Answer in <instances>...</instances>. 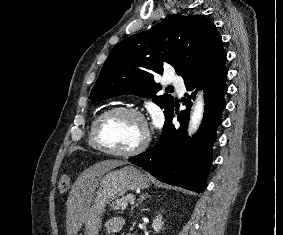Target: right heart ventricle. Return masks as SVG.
I'll list each match as a JSON object with an SVG mask.
<instances>
[{
	"label": "right heart ventricle",
	"instance_id": "1",
	"mask_svg": "<svg viewBox=\"0 0 283 235\" xmlns=\"http://www.w3.org/2000/svg\"><path fill=\"white\" fill-rule=\"evenodd\" d=\"M101 114V113H100ZM98 114L97 116H95V118L92 120L91 124H90V127H89V131H88V145L91 147V148H96L93 141H92V127H93V124L96 120V118L100 115Z\"/></svg>",
	"mask_w": 283,
	"mask_h": 235
}]
</instances>
